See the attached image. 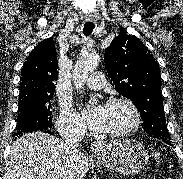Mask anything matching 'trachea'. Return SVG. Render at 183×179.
I'll use <instances>...</instances> for the list:
<instances>
[{"instance_id":"trachea-1","label":"trachea","mask_w":183,"mask_h":179,"mask_svg":"<svg viewBox=\"0 0 183 179\" xmlns=\"http://www.w3.org/2000/svg\"><path fill=\"white\" fill-rule=\"evenodd\" d=\"M94 28H95V25L92 22L85 23L84 29H83L84 35L86 36L90 35Z\"/></svg>"}]
</instances>
